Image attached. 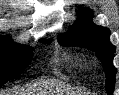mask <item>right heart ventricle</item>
Instances as JSON below:
<instances>
[{
	"mask_svg": "<svg viewBox=\"0 0 119 95\" xmlns=\"http://www.w3.org/2000/svg\"><path fill=\"white\" fill-rule=\"evenodd\" d=\"M64 62V63H68L69 62V57L66 54H62L60 58L57 59V62Z\"/></svg>",
	"mask_w": 119,
	"mask_h": 95,
	"instance_id": "1",
	"label": "right heart ventricle"
}]
</instances>
